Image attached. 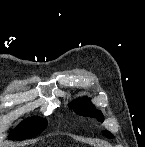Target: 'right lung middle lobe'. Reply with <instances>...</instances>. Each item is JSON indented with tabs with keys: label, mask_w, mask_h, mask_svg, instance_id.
Returning <instances> with one entry per match:
<instances>
[{
	"label": "right lung middle lobe",
	"mask_w": 145,
	"mask_h": 147,
	"mask_svg": "<svg viewBox=\"0 0 145 147\" xmlns=\"http://www.w3.org/2000/svg\"><path fill=\"white\" fill-rule=\"evenodd\" d=\"M47 126V121L41 117H31L22 122L9 135L12 140H22L39 135Z\"/></svg>",
	"instance_id": "dd1d6c3e"
}]
</instances>
